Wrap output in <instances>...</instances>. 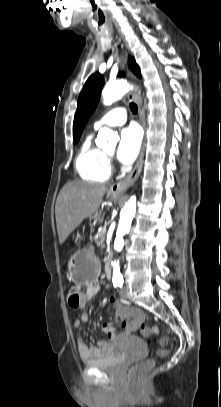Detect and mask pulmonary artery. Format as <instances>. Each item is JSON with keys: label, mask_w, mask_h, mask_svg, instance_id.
<instances>
[{"label": "pulmonary artery", "mask_w": 221, "mask_h": 407, "mask_svg": "<svg viewBox=\"0 0 221 407\" xmlns=\"http://www.w3.org/2000/svg\"><path fill=\"white\" fill-rule=\"evenodd\" d=\"M126 120L127 113L125 108L117 107L110 110L99 120H97L94 123V129L98 130L104 126H120L123 125L126 122Z\"/></svg>", "instance_id": "pulmonary-artery-1"}]
</instances>
